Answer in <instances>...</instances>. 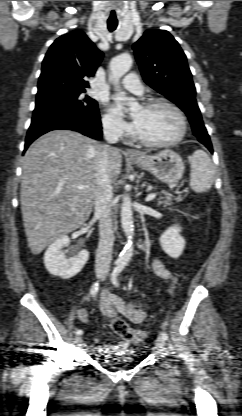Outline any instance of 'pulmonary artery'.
Listing matches in <instances>:
<instances>
[{
	"instance_id": "pulmonary-artery-1",
	"label": "pulmonary artery",
	"mask_w": 242,
	"mask_h": 416,
	"mask_svg": "<svg viewBox=\"0 0 242 416\" xmlns=\"http://www.w3.org/2000/svg\"><path fill=\"white\" fill-rule=\"evenodd\" d=\"M121 88L134 93L142 94L143 86L138 76L135 73H129L120 83Z\"/></svg>"
}]
</instances>
